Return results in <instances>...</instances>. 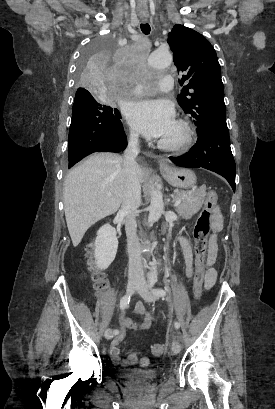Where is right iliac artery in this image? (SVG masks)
<instances>
[{"instance_id":"right-iliac-artery-1","label":"right iliac artery","mask_w":275,"mask_h":409,"mask_svg":"<svg viewBox=\"0 0 275 409\" xmlns=\"http://www.w3.org/2000/svg\"><path fill=\"white\" fill-rule=\"evenodd\" d=\"M130 299H131V295H129V294L122 297V299L120 300V309L121 310H125L128 307ZM114 333L116 334V330L114 331Z\"/></svg>"}]
</instances>
